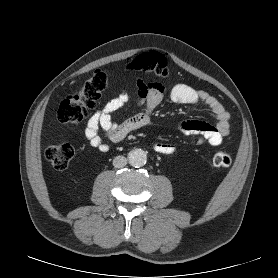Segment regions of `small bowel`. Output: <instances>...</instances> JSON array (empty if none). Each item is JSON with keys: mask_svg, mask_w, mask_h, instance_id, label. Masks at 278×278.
<instances>
[{"mask_svg": "<svg viewBox=\"0 0 278 278\" xmlns=\"http://www.w3.org/2000/svg\"><path fill=\"white\" fill-rule=\"evenodd\" d=\"M137 99L135 107L143 106V110L122 121H116L113 113L123 108L129 101L130 95L123 91L117 97L109 100L103 108L95 111L88 119L84 135L89 145L100 152H107L110 146L103 140L100 130L113 143L122 141L129 133L147 126L154 110L168 96L177 104L194 105L204 103L216 118V124L211 125L203 121L188 120L179 124L180 132L185 135H197L198 143H208L211 146H220L230 133V114L223 104L205 90L178 83L167 89L161 83H146L142 79L136 81ZM153 150L164 155L176 152V146L170 143L156 142Z\"/></svg>", "mask_w": 278, "mask_h": 278, "instance_id": "small-bowel-1", "label": "small bowel"}]
</instances>
